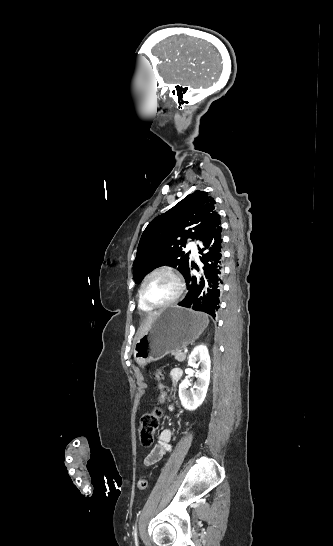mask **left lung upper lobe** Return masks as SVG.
<instances>
[{
	"mask_svg": "<svg viewBox=\"0 0 333 546\" xmlns=\"http://www.w3.org/2000/svg\"><path fill=\"white\" fill-rule=\"evenodd\" d=\"M219 215L207 192L195 191L166 213L153 219L144 230L133 263L135 283L163 265L177 267L185 277L190 255L182 250L187 239L198 240Z\"/></svg>",
	"mask_w": 333,
	"mask_h": 546,
	"instance_id": "obj_1",
	"label": "left lung upper lobe"
}]
</instances>
